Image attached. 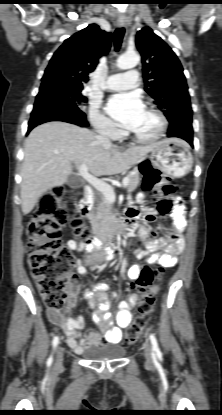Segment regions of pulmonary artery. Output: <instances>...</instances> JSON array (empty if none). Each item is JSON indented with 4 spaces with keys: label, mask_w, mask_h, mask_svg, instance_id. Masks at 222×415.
<instances>
[{
    "label": "pulmonary artery",
    "mask_w": 222,
    "mask_h": 415,
    "mask_svg": "<svg viewBox=\"0 0 222 415\" xmlns=\"http://www.w3.org/2000/svg\"><path fill=\"white\" fill-rule=\"evenodd\" d=\"M139 84V75L136 70L110 75L103 85L108 91H121L133 89Z\"/></svg>",
    "instance_id": "obj_1"
}]
</instances>
